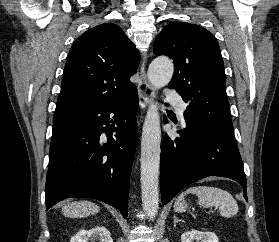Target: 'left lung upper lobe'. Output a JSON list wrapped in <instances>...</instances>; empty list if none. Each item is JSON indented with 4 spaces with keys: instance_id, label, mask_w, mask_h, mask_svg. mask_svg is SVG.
I'll use <instances>...</instances> for the list:
<instances>
[{
    "instance_id": "5c2ea615",
    "label": "left lung upper lobe",
    "mask_w": 279,
    "mask_h": 242,
    "mask_svg": "<svg viewBox=\"0 0 279 242\" xmlns=\"http://www.w3.org/2000/svg\"><path fill=\"white\" fill-rule=\"evenodd\" d=\"M153 51L174 60L175 73L169 87L188 104L186 124L234 139L224 65L213 34L195 24L170 23L157 36Z\"/></svg>"
}]
</instances>
